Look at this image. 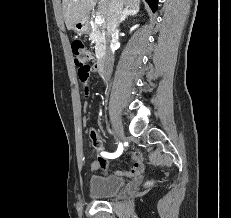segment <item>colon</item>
Masks as SVG:
<instances>
[{"label": "colon", "mask_w": 231, "mask_h": 218, "mask_svg": "<svg viewBox=\"0 0 231 218\" xmlns=\"http://www.w3.org/2000/svg\"><path fill=\"white\" fill-rule=\"evenodd\" d=\"M71 49L78 69H81V66H92L95 63L93 51L87 48L82 41L74 40L71 44Z\"/></svg>", "instance_id": "obj_1"}]
</instances>
